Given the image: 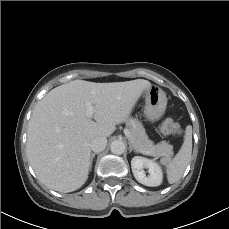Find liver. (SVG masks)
Listing matches in <instances>:
<instances>
[{
    "instance_id": "1",
    "label": "liver",
    "mask_w": 229,
    "mask_h": 229,
    "mask_svg": "<svg viewBox=\"0 0 229 229\" xmlns=\"http://www.w3.org/2000/svg\"><path fill=\"white\" fill-rule=\"evenodd\" d=\"M150 86L144 79L74 80L47 93L35 107L27 131V155L37 178L64 193L82 187L90 170L91 141L109 137L117 124L127 121ZM87 102L95 109L91 118L86 115Z\"/></svg>"
}]
</instances>
